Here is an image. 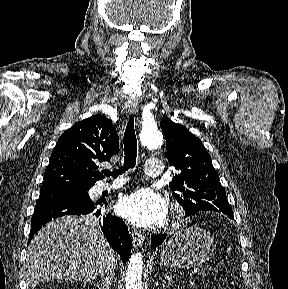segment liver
Wrapping results in <instances>:
<instances>
[{
    "label": "liver",
    "mask_w": 288,
    "mask_h": 289,
    "mask_svg": "<svg viewBox=\"0 0 288 289\" xmlns=\"http://www.w3.org/2000/svg\"><path fill=\"white\" fill-rule=\"evenodd\" d=\"M99 224L92 217L64 216L44 226L32 239L27 252V284L51 280L92 281L117 264Z\"/></svg>",
    "instance_id": "6515ba94"
}]
</instances>
